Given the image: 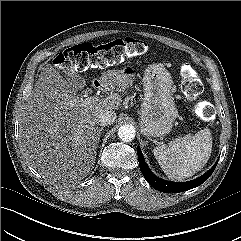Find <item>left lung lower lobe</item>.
Returning a JSON list of instances; mask_svg holds the SVG:
<instances>
[{
	"mask_svg": "<svg viewBox=\"0 0 241 241\" xmlns=\"http://www.w3.org/2000/svg\"><path fill=\"white\" fill-rule=\"evenodd\" d=\"M137 154H138L140 170H141L144 178L148 181V183L153 188H155L158 191L165 192V193L183 192V191H186V190L199 186L200 184L204 183L210 177V175L213 173V171L216 168L217 163H218V161H217L207 173L198 177L197 179H194L189 182L177 183V182L166 181V180L160 179L159 177L154 175L150 171L148 166L146 165L139 147L137 150Z\"/></svg>",
	"mask_w": 241,
	"mask_h": 241,
	"instance_id": "obj_1",
	"label": "left lung lower lobe"
}]
</instances>
